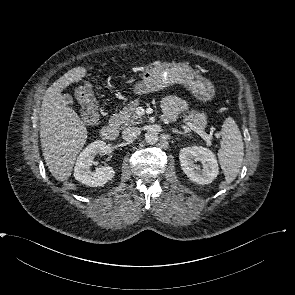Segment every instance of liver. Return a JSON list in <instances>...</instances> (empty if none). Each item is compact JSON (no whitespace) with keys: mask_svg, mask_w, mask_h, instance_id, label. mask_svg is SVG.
<instances>
[{"mask_svg":"<svg viewBox=\"0 0 295 295\" xmlns=\"http://www.w3.org/2000/svg\"><path fill=\"white\" fill-rule=\"evenodd\" d=\"M87 70L75 67L56 80L45 92L40 111L41 147L46 165L58 181L72 174L78 153L87 140V129L65 101L62 90L80 81Z\"/></svg>","mask_w":295,"mask_h":295,"instance_id":"1","label":"liver"}]
</instances>
